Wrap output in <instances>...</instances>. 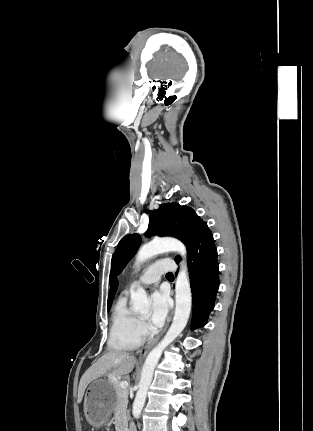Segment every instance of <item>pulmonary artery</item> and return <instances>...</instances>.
Here are the masks:
<instances>
[{"instance_id": "e3ab8cb5", "label": "pulmonary artery", "mask_w": 313, "mask_h": 431, "mask_svg": "<svg viewBox=\"0 0 313 431\" xmlns=\"http://www.w3.org/2000/svg\"><path fill=\"white\" fill-rule=\"evenodd\" d=\"M175 269L176 265L170 259L156 261L144 270L138 281L135 282L132 287H135L137 284L143 286L155 285L159 282L163 274L172 272Z\"/></svg>"}]
</instances>
